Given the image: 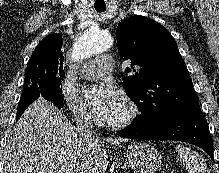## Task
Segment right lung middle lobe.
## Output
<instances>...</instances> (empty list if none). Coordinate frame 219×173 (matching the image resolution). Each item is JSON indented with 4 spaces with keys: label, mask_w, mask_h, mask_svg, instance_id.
<instances>
[{
    "label": "right lung middle lobe",
    "mask_w": 219,
    "mask_h": 173,
    "mask_svg": "<svg viewBox=\"0 0 219 173\" xmlns=\"http://www.w3.org/2000/svg\"><path fill=\"white\" fill-rule=\"evenodd\" d=\"M63 74L64 72L58 65L27 64L22 96L39 93L57 107H63L61 89Z\"/></svg>",
    "instance_id": "right-lung-middle-lobe-1"
}]
</instances>
